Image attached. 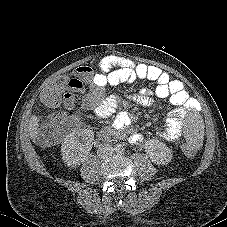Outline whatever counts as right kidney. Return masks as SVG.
Masks as SVG:
<instances>
[{
	"instance_id": "obj_1",
	"label": "right kidney",
	"mask_w": 227,
	"mask_h": 227,
	"mask_svg": "<svg viewBox=\"0 0 227 227\" xmlns=\"http://www.w3.org/2000/svg\"><path fill=\"white\" fill-rule=\"evenodd\" d=\"M94 141V133L89 129H79L66 136L61 146L64 163L75 168L86 159Z\"/></svg>"
}]
</instances>
